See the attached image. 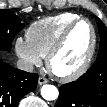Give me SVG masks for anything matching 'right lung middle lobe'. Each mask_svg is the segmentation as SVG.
Listing matches in <instances>:
<instances>
[{"instance_id": "right-lung-middle-lobe-1", "label": "right lung middle lobe", "mask_w": 107, "mask_h": 107, "mask_svg": "<svg viewBox=\"0 0 107 107\" xmlns=\"http://www.w3.org/2000/svg\"><path fill=\"white\" fill-rule=\"evenodd\" d=\"M24 27L18 16L9 10H0V50L9 51L15 35Z\"/></svg>"}]
</instances>
